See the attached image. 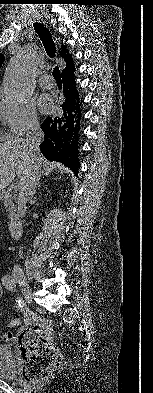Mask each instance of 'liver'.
Here are the masks:
<instances>
[{
	"instance_id": "obj_1",
	"label": "liver",
	"mask_w": 153,
	"mask_h": 393,
	"mask_svg": "<svg viewBox=\"0 0 153 393\" xmlns=\"http://www.w3.org/2000/svg\"><path fill=\"white\" fill-rule=\"evenodd\" d=\"M39 152L31 151L26 139L15 138L0 143V193L17 176L22 184L33 171L35 163H41Z\"/></svg>"
}]
</instances>
